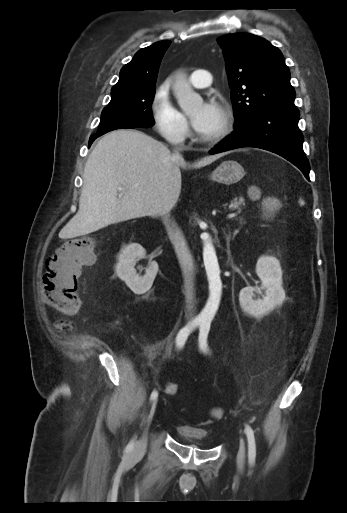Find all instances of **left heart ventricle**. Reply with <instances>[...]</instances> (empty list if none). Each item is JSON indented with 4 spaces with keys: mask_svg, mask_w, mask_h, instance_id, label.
Returning <instances> with one entry per match:
<instances>
[{
    "mask_svg": "<svg viewBox=\"0 0 347 513\" xmlns=\"http://www.w3.org/2000/svg\"><path fill=\"white\" fill-rule=\"evenodd\" d=\"M203 104L199 103L195 106V108L192 110L191 112V116L194 117L202 108ZM222 123H223V115H222V111L219 109V114L215 120V122L213 123V125L211 127H209L207 130H205L204 132H201L199 133L202 137H211L213 135H215L221 128L222 126Z\"/></svg>",
    "mask_w": 347,
    "mask_h": 513,
    "instance_id": "obj_1",
    "label": "left heart ventricle"
}]
</instances>
